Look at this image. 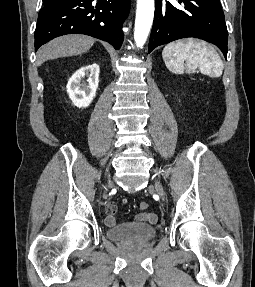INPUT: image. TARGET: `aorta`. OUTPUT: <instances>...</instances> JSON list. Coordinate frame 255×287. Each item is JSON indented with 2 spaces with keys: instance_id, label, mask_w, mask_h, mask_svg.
Returning a JSON list of instances; mask_svg holds the SVG:
<instances>
[{
  "instance_id": "obj_1",
  "label": "aorta",
  "mask_w": 255,
  "mask_h": 287,
  "mask_svg": "<svg viewBox=\"0 0 255 287\" xmlns=\"http://www.w3.org/2000/svg\"><path fill=\"white\" fill-rule=\"evenodd\" d=\"M154 17V0H137L134 40L142 47L147 40Z\"/></svg>"
}]
</instances>
